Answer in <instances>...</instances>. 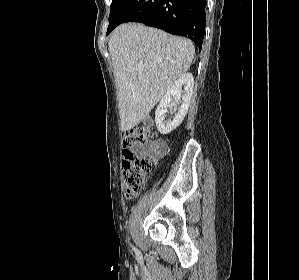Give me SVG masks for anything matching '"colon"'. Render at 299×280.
<instances>
[{
  "label": "colon",
  "mask_w": 299,
  "mask_h": 280,
  "mask_svg": "<svg viewBox=\"0 0 299 280\" xmlns=\"http://www.w3.org/2000/svg\"><path fill=\"white\" fill-rule=\"evenodd\" d=\"M150 132L146 127H135L125 132L123 137V180L124 194L132 199L140 194L155 161L154 155L139 154L135 148L144 146Z\"/></svg>",
  "instance_id": "1"
}]
</instances>
